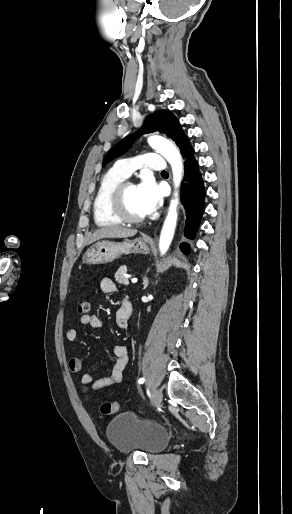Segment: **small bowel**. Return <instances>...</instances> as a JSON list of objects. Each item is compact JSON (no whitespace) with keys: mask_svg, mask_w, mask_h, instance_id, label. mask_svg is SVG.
<instances>
[{"mask_svg":"<svg viewBox=\"0 0 292 514\" xmlns=\"http://www.w3.org/2000/svg\"><path fill=\"white\" fill-rule=\"evenodd\" d=\"M100 289L105 294H113L116 292L117 287L111 278L105 277L100 281ZM129 318L130 317L126 316V312L122 305H120L115 311L116 326L122 330L127 329ZM80 323L84 326H89L92 329H100L102 327V320L97 314L81 316ZM66 337L69 341H76L79 338V330L77 328L68 329ZM113 352L117 360L109 375L94 380V375L92 373H85L80 378V384L90 385L92 390H102L122 383L124 381V370L128 364V348L126 345H116ZM68 366L72 373L77 374L83 370L84 363L81 358L73 357L69 360Z\"/></svg>","mask_w":292,"mask_h":514,"instance_id":"c3829d8e","label":"small bowel"}]
</instances>
